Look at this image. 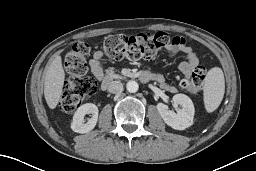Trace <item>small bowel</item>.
<instances>
[{"instance_id": "1", "label": "small bowel", "mask_w": 256, "mask_h": 171, "mask_svg": "<svg viewBox=\"0 0 256 171\" xmlns=\"http://www.w3.org/2000/svg\"><path fill=\"white\" fill-rule=\"evenodd\" d=\"M167 51L171 57H174L178 53H182L186 56V60L181 62L179 65V70L186 76L191 75L193 70L198 66L199 60L197 54L194 50L187 45L184 38L176 36L167 45ZM104 57L102 51H95L89 61V66L92 74L98 80L102 79L104 71L101 65V60ZM151 79L158 82L162 88L166 90H172L173 87L165 80L162 75L159 74H149Z\"/></svg>"}]
</instances>
